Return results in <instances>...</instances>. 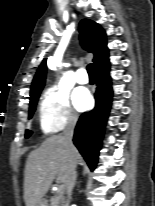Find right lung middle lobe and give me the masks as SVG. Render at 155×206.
Segmentation results:
<instances>
[{
    "label": "right lung middle lobe",
    "mask_w": 155,
    "mask_h": 206,
    "mask_svg": "<svg viewBox=\"0 0 155 206\" xmlns=\"http://www.w3.org/2000/svg\"><path fill=\"white\" fill-rule=\"evenodd\" d=\"M39 94L35 95L34 97L30 98V104H29V119L32 117L34 111H35V107L39 98ZM31 131H26L25 137L28 138L31 135Z\"/></svg>",
    "instance_id": "obj_1"
}]
</instances>
